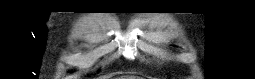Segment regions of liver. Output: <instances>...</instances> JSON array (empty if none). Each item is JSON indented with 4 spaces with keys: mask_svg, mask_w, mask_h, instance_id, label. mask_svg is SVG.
Masks as SVG:
<instances>
[{
    "mask_svg": "<svg viewBox=\"0 0 255 79\" xmlns=\"http://www.w3.org/2000/svg\"><path fill=\"white\" fill-rule=\"evenodd\" d=\"M129 79H137L135 76H131Z\"/></svg>",
    "mask_w": 255,
    "mask_h": 79,
    "instance_id": "1",
    "label": "liver"
}]
</instances>
